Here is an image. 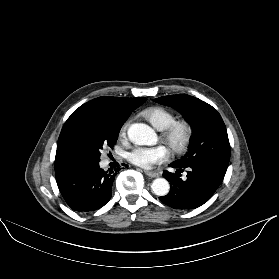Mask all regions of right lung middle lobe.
I'll use <instances>...</instances> for the list:
<instances>
[{
  "label": "right lung middle lobe",
  "mask_w": 279,
  "mask_h": 279,
  "mask_svg": "<svg viewBox=\"0 0 279 279\" xmlns=\"http://www.w3.org/2000/svg\"><path fill=\"white\" fill-rule=\"evenodd\" d=\"M125 119L94 118L80 123L70 134L67 153L73 162H99L105 146L113 148Z\"/></svg>",
  "instance_id": "right-lung-middle-lobe-1"
}]
</instances>
